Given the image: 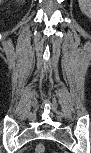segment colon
<instances>
[{
	"instance_id": "obj_1",
	"label": "colon",
	"mask_w": 91,
	"mask_h": 153,
	"mask_svg": "<svg viewBox=\"0 0 91 153\" xmlns=\"http://www.w3.org/2000/svg\"><path fill=\"white\" fill-rule=\"evenodd\" d=\"M45 151H46V147L44 144H39L34 149L35 153H44Z\"/></svg>"
}]
</instances>
